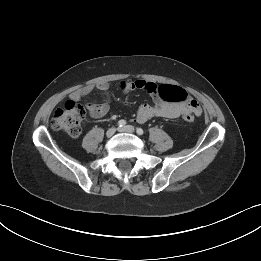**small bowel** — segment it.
I'll use <instances>...</instances> for the list:
<instances>
[{
	"label": "small bowel",
	"instance_id": "small-bowel-1",
	"mask_svg": "<svg viewBox=\"0 0 261 261\" xmlns=\"http://www.w3.org/2000/svg\"><path fill=\"white\" fill-rule=\"evenodd\" d=\"M120 88L124 93H129L133 90L141 89L147 91L154 100L153 104L144 103L139 106L136 113V122L143 124L154 117H162L168 119H176L183 117L186 113H193L195 115L201 114V107L192 98L182 104L168 103L159 96V87L151 81L137 79L134 81L121 82ZM109 89L110 83L103 81L97 84H90L73 91L69 99L73 102H79L83 97L87 96L93 90H97L106 95V101L102 104L88 103L86 108L93 118H100L106 115L109 111Z\"/></svg>",
	"mask_w": 261,
	"mask_h": 261
}]
</instances>
